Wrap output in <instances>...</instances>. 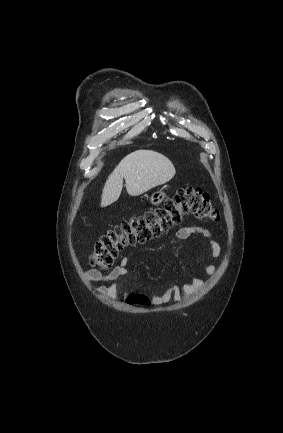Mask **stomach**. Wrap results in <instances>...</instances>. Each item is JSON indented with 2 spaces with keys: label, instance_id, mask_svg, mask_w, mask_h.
I'll use <instances>...</instances> for the list:
<instances>
[{
  "label": "stomach",
  "instance_id": "0dacf381",
  "mask_svg": "<svg viewBox=\"0 0 283 433\" xmlns=\"http://www.w3.org/2000/svg\"><path fill=\"white\" fill-rule=\"evenodd\" d=\"M165 196L166 192H163V190H156V192H153L150 202L151 204H160V202H163Z\"/></svg>",
  "mask_w": 283,
  "mask_h": 433
}]
</instances>
